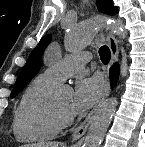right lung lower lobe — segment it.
I'll return each mask as SVG.
<instances>
[{
    "instance_id": "1",
    "label": "right lung lower lobe",
    "mask_w": 145,
    "mask_h": 147,
    "mask_svg": "<svg viewBox=\"0 0 145 147\" xmlns=\"http://www.w3.org/2000/svg\"><path fill=\"white\" fill-rule=\"evenodd\" d=\"M118 76H119V66L117 64H114L110 69V82L112 86L116 84Z\"/></svg>"
}]
</instances>
